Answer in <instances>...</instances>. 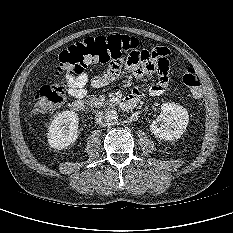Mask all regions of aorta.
<instances>
[{
  "instance_id": "762f6f07",
  "label": "aorta",
  "mask_w": 233,
  "mask_h": 233,
  "mask_svg": "<svg viewBox=\"0 0 233 233\" xmlns=\"http://www.w3.org/2000/svg\"><path fill=\"white\" fill-rule=\"evenodd\" d=\"M108 123H113L118 119V112L116 110H108L105 113Z\"/></svg>"
}]
</instances>
